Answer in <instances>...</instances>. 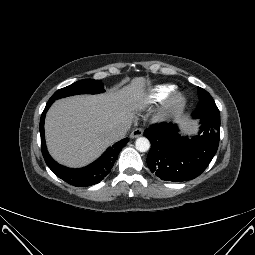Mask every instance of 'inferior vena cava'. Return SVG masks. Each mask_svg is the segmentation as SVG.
<instances>
[{"mask_svg": "<svg viewBox=\"0 0 255 255\" xmlns=\"http://www.w3.org/2000/svg\"><path fill=\"white\" fill-rule=\"evenodd\" d=\"M128 129H129V126H128V125L118 127L117 129H115V130H113V131L111 132L110 136H111V138H112L114 141L121 140V139L125 138Z\"/></svg>", "mask_w": 255, "mask_h": 255, "instance_id": "inferior-vena-cava-1", "label": "inferior vena cava"}]
</instances>
